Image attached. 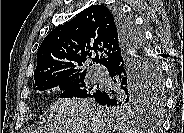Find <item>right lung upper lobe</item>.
Masks as SVG:
<instances>
[{"mask_svg":"<svg viewBox=\"0 0 184 133\" xmlns=\"http://www.w3.org/2000/svg\"><path fill=\"white\" fill-rule=\"evenodd\" d=\"M122 37L114 10L93 5L53 29L38 49L35 83L50 77H81L91 57L105 67L121 52ZM92 65V64H90Z\"/></svg>","mask_w":184,"mask_h":133,"instance_id":"right-lung-upper-lobe-1","label":"right lung upper lobe"}]
</instances>
